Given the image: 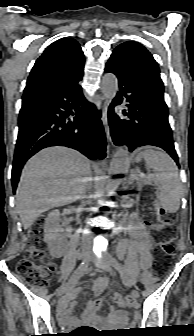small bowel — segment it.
<instances>
[{
  "mask_svg": "<svg viewBox=\"0 0 194 336\" xmlns=\"http://www.w3.org/2000/svg\"><path fill=\"white\" fill-rule=\"evenodd\" d=\"M129 233L131 236V240L122 243L119 248V252L121 255H123L125 247L127 245H131L139 255V261H137V259L135 258L130 259L131 266L135 268L139 263L143 270V273L145 275H148L151 266L150 237L146 225L135 215L130 218ZM109 282L110 281L108 278L99 279L93 287L95 295L99 296L103 292V290L109 285ZM113 298L120 305L123 304L122 296L119 293H114ZM71 300L72 299H63L60 303V320L64 325L67 326L78 323V320L73 317V302ZM102 304V298L89 301L83 314V321L88 324L94 323L95 311L101 308ZM125 319L126 317L122 313L116 311L114 307L111 306L109 308V314L107 317V323L109 325Z\"/></svg>",
  "mask_w": 194,
  "mask_h": 336,
  "instance_id": "small-bowel-1",
  "label": "small bowel"
}]
</instances>
